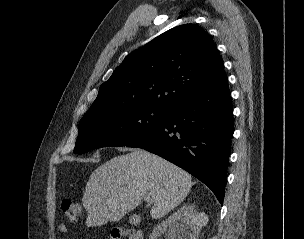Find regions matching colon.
Masks as SVG:
<instances>
[{"label": "colon", "mask_w": 304, "mask_h": 239, "mask_svg": "<svg viewBox=\"0 0 304 239\" xmlns=\"http://www.w3.org/2000/svg\"><path fill=\"white\" fill-rule=\"evenodd\" d=\"M61 208L70 223H76L82 217V206L76 201L65 199L62 201ZM109 239H142V234L138 230L122 226L112 229Z\"/></svg>", "instance_id": "5ec220e1"}]
</instances>
